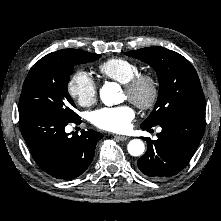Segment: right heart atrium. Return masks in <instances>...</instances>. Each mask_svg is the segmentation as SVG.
<instances>
[{
  "label": "right heart atrium",
  "instance_id": "right-heart-atrium-1",
  "mask_svg": "<svg viewBox=\"0 0 221 221\" xmlns=\"http://www.w3.org/2000/svg\"><path fill=\"white\" fill-rule=\"evenodd\" d=\"M67 91L81 106H90L97 99V85L93 77L83 70H78L70 76Z\"/></svg>",
  "mask_w": 221,
  "mask_h": 221
}]
</instances>
